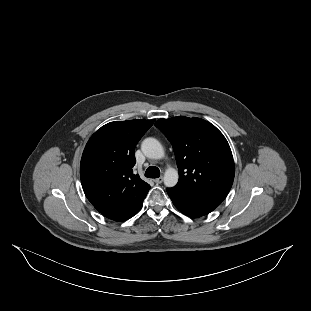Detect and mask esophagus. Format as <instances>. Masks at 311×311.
Wrapping results in <instances>:
<instances>
[{
  "label": "esophagus",
  "instance_id": "esophagus-1",
  "mask_svg": "<svg viewBox=\"0 0 311 311\" xmlns=\"http://www.w3.org/2000/svg\"><path fill=\"white\" fill-rule=\"evenodd\" d=\"M162 182H163V177L162 176L157 178V179H155V183H157V184H160Z\"/></svg>",
  "mask_w": 311,
  "mask_h": 311
}]
</instances>
